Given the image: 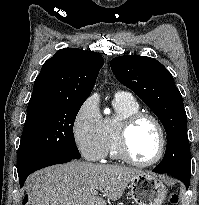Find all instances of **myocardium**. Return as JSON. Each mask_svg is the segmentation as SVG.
<instances>
[{"label":"myocardium","instance_id":"myocardium-1","mask_svg":"<svg viewBox=\"0 0 199 205\" xmlns=\"http://www.w3.org/2000/svg\"><path fill=\"white\" fill-rule=\"evenodd\" d=\"M141 120L151 121L155 125L159 133L160 145H159L158 153L152 160L147 162H140L136 160L131 155L128 147V138H129L130 131ZM166 147H167V138H166L164 127L160 122V120L154 115L147 112L138 111L136 113L127 115L120 121L117 128L116 148H117V153L119 158L125 161L126 163L137 167L152 166L158 163L163 158L166 151Z\"/></svg>","mask_w":199,"mask_h":205}]
</instances>
